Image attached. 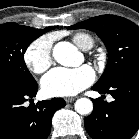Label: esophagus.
<instances>
[{
  "label": "esophagus",
  "instance_id": "1",
  "mask_svg": "<svg viewBox=\"0 0 139 139\" xmlns=\"http://www.w3.org/2000/svg\"><path fill=\"white\" fill-rule=\"evenodd\" d=\"M74 100H75L74 97H67V98H65V101H66L67 103H71V102H73Z\"/></svg>",
  "mask_w": 139,
  "mask_h": 139
}]
</instances>
